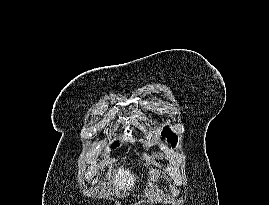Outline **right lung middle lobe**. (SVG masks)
<instances>
[{
	"label": "right lung middle lobe",
	"mask_w": 269,
	"mask_h": 205,
	"mask_svg": "<svg viewBox=\"0 0 269 205\" xmlns=\"http://www.w3.org/2000/svg\"><path fill=\"white\" fill-rule=\"evenodd\" d=\"M117 145H118V142H115V143L112 145V148H115Z\"/></svg>",
	"instance_id": "right-lung-middle-lobe-1"
}]
</instances>
